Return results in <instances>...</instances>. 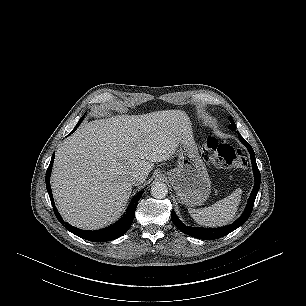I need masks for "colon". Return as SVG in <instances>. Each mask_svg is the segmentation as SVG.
Here are the masks:
<instances>
[{"label": "colon", "instance_id": "5ec220e1", "mask_svg": "<svg viewBox=\"0 0 306 306\" xmlns=\"http://www.w3.org/2000/svg\"><path fill=\"white\" fill-rule=\"evenodd\" d=\"M203 155L222 168L245 167L247 158L244 152L227 144H220L215 138H207L203 145Z\"/></svg>", "mask_w": 306, "mask_h": 306}]
</instances>
